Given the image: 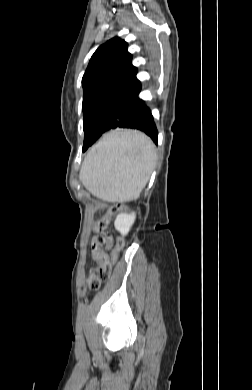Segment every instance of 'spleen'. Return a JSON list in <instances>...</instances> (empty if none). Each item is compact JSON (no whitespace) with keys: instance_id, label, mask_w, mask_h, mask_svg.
<instances>
[{"instance_id":"1","label":"spleen","mask_w":252,"mask_h":390,"mask_svg":"<svg viewBox=\"0 0 252 390\" xmlns=\"http://www.w3.org/2000/svg\"><path fill=\"white\" fill-rule=\"evenodd\" d=\"M155 160V147L144 134L112 132L89 151L79 179L99 199L128 202L140 196Z\"/></svg>"}]
</instances>
